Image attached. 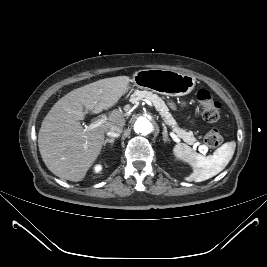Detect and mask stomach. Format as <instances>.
Returning a JSON list of instances; mask_svg holds the SVG:
<instances>
[{
  "label": "stomach",
  "mask_w": 267,
  "mask_h": 267,
  "mask_svg": "<svg viewBox=\"0 0 267 267\" xmlns=\"http://www.w3.org/2000/svg\"><path fill=\"white\" fill-rule=\"evenodd\" d=\"M134 86L166 96H183L195 87V78L172 70L144 69L137 71L131 80Z\"/></svg>",
  "instance_id": "1"
}]
</instances>
